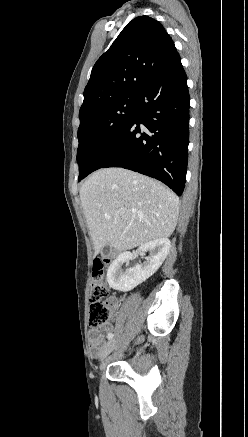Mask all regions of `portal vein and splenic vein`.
I'll list each match as a JSON object with an SVG mask.
<instances>
[{"mask_svg":"<svg viewBox=\"0 0 248 437\" xmlns=\"http://www.w3.org/2000/svg\"><path fill=\"white\" fill-rule=\"evenodd\" d=\"M124 212H125V211H124L123 209H122V210H120V213H121V214H123Z\"/></svg>","mask_w":248,"mask_h":437,"instance_id":"portal-vein-and-splenic-vein-1","label":"portal vein and splenic vein"}]
</instances>
